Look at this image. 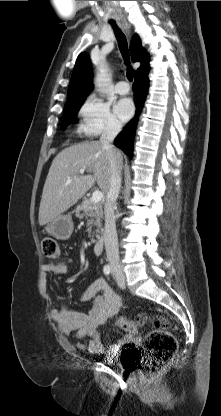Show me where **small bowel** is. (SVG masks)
Here are the masks:
<instances>
[{
	"label": "small bowel",
	"instance_id": "c3829d8e",
	"mask_svg": "<svg viewBox=\"0 0 221 416\" xmlns=\"http://www.w3.org/2000/svg\"><path fill=\"white\" fill-rule=\"evenodd\" d=\"M72 264L73 259L68 257L61 259L57 263H44L40 277L42 280H46L48 274L64 275L69 271ZM80 300L83 303L92 301V306L87 313L70 310L65 304L51 311L53 321L57 323L64 335H75L79 340L85 337L88 338L86 343L78 342V348L86 350L91 354L111 355L118 351L121 346L133 341L132 336L125 335L117 344L108 348H105L102 344L97 331L98 327L108 319L116 316L122 307L121 297L112 290L106 280L103 278L94 280L83 291Z\"/></svg>",
	"mask_w": 221,
	"mask_h": 416
}]
</instances>
